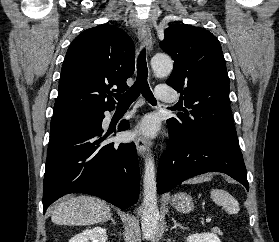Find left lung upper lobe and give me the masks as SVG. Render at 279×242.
<instances>
[{"mask_svg":"<svg viewBox=\"0 0 279 242\" xmlns=\"http://www.w3.org/2000/svg\"><path fill=\"white\" fill-rule=\"evenodd\" d=\"M174 60L168 85L180 93L184 113L167 120L187 143L213 140L239 147L229 105V78L218 39L187 24L170 26L160 43ZM188 108V110H186Z\"/></svg>","mask_w":279,"mask_h":242,"instance_id":"5c2ea615","label":"left lung upper lobe"}]
</instances>
